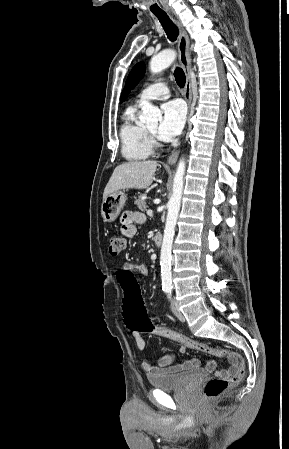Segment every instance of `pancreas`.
I'll return each instance as SVG.
<instances>
[{
    "instance_id": "1",
    "label": "pancreas",
    "mask_w": 289,
    "mask_h": 449,
    "mask_svg": "<svg viewBox=\"0 0 289 449\" xmlns=\"http://www.w3.org/2000/svg\"><path fill=\"white\" fill-rule=\"evenodd\" d=\"M146 195L142 194L138 197V199H136L135 201V205L137 206L138 209H140L141 211H145L147 208L146 202Z\"/></svg>"
}]
</instances>
